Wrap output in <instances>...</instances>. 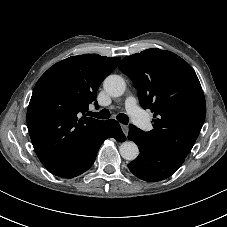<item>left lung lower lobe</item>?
Instances as JSON below:
<instances>
[{
  "label": "left lung lower lobe",
  "mask_w": 227,
  "mask_h": 227,
  "mask_svg": "<svg viewBox=\"0 0 227 227\" xmlns=\"http://www.w3.org/2000/svg\"><path fill=\"white\" fill-rule=\"evenodd\" d=\"M128 139L134 141L140 150L138 158L128 167L135 176L145 181L156 182L170 177L185 160L154 145L145 132L134 125L129 126Z\"/></svg>",
  "instance_id": "1"
}]
</instances>
